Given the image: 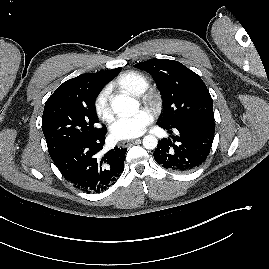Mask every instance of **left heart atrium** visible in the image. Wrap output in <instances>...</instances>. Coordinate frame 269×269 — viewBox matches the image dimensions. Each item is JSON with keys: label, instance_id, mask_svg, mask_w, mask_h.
I'll list each match as a JSON object with an SVG mask.
<instances>
[{"label": "left heart atrium", "instance_id": "39dd6f15", "mask_svg": "<svg viewBox=\"0 0 269 269\" xmlns=\"http://www.w3.org/2000/svg\"><path fill=\"white\" fill-rule=\"evenodd\" d=\"M152 120V113L141 109L133 116L118 119L112 126V135L117 140L135 138L145 131Z\"/></svg>", "mask_w": 269, "mask_h": 269}]
</instances>
